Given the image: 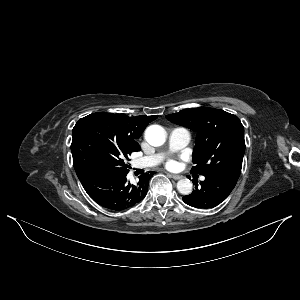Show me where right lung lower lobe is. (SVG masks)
I'll use <instances>...</instances> for the list:
<instances>
[{
  "instance_id": "1",
  "label": "right lung lower lobe",
  "mask_w": 300,
  "mask_h": 300,
  "mask_svg": "<svg viewBox=\"0 0 300 300\" xmlns=\"http://www.w3.org/2000/svg\"><path fill=\"white\" fill-rule=\"evenodd\" d=\"M155 172L139 176L133 185L127 173L106 169L95 170L79 178L87 194L104 208L120 211L139 203L147 194L148 184Z\"/></svg>"
}]
</instances>
